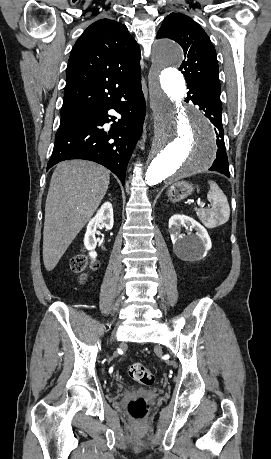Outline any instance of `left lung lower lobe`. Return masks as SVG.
I'll return each mask as SVG.
<instances>
[{
    "instance_id": "0a47b994",
    "label": "left lung lower lobe",
    "mask_w": 271,
    "mask_h": 459,
    "mask_svg": "<svg viewBox=\"0 0 271 459\" xmlns=\"http://www.w3.org/2000/svg\"><path fill=\"white\" fill-rule=\"evenodd\" d=\"M191 100L199 105L205 116L215 125L217 156L209 170L220 172L230 177L228 158L224 143V130L222 126V105L220 91L217 92L209 86L189 88L187 102Z\"/></svg>"
}]
</instances>
